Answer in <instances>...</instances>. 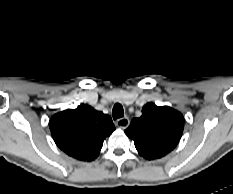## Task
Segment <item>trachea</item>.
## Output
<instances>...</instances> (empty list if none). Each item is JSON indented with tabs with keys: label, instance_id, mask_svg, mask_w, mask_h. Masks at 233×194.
Wrapping results in <instances>:
<instances>
[{
	"label": "trachea",
	"instance_id": "trachea-1",
	"mask_svg": "<svg viewBox=\"0 0 233 194\" xmlns=\"http://www.w3.org/2000/svg\"><path fill=\"white\" fill-rule=\"evenodd\" d=\"M112 115L114 119L122 118L124 116V110L121 104L116 103L114 105Z\"/></svg>",
	"mask_w": 233,
	"mask_h": 194
}]
</instances>
